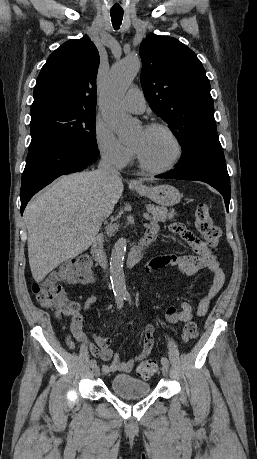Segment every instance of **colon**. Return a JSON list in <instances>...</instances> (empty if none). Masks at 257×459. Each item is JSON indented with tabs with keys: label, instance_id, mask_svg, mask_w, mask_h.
<instances>
[{
	"label": "colon",
	"instance_id": "5ec220e1",
	"mask_svg": "<svg viewBox=\"0 0 257 459\" xmlns=\"http://www.w3.org/2000/svg\"><path fill=\"white\" fill-rule=\"evenodd\" d=\"M195 226L205 242L214 248L220 238V230L214 225L207 202L200 201L195 210ZM91 261L87 256H79L73 260L64 262L60 267L51 272L46 278L35 281L32 290L38 303L47 308H53L60 315L74 317L77 313L76 303L70 300L63 287L59 284L61 280L71 282H88L92 280L90 272ZM198 335L194 323L184 326L181 339L187 343L194 340ZM158 367L156 360L149 359L139 364L138 374L142 378L152 377Z\"/></svg>",
	"mask_w": 257,
	"mask_h": 459
}]
</instances>
